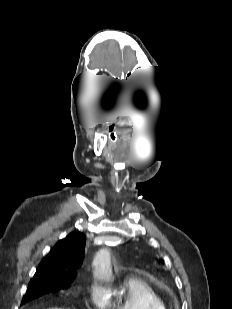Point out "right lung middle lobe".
Masks as SVG:
<instances>
[{
    "label": "right lung middle lobe",
    "mask_w": 232,
    "mask_h": 309,
    "mask_svg": "<svg viewBox=\"0 0 232 309\" xmlns=\"http://www.w3.org/2000/svg\"><path fill=\"white\" fill-rule=\"evenodd\" d=\"M67 279H50L45 276L31 280L26 294L23 296L22 304L30 302L46 293L57 291L61 288H67L71 284Z\"/></svg>",
    "instance_id": "dd1d6c3e"
}]
</instances>
